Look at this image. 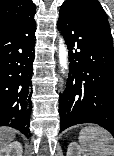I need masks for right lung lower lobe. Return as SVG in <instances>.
Masks as SVG:
<instances>
[{
	"label": "right lung lower lobe",
	"instance_id": "right-lung-lower-lobe-1",
	"mask_svg": "<svg viewBox=\"0 0 114 156\" xmlns=\"http://www.w3.org/2000/svg\"><path fill=\"white\" fill-rule=\"evenodd\" d=\"M35 12L0 29V126L30 136Z\"/></svg>",
	"mask_w": 114,
	"mask_h": 156
}]
</instances>
